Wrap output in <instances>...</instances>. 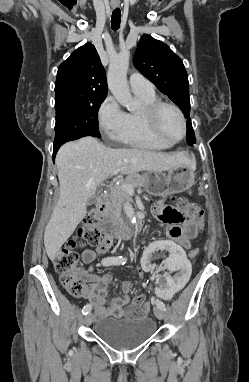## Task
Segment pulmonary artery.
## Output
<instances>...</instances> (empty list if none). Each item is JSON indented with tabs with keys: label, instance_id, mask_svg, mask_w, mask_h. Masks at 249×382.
Returning <instances> with one entry per match:
<instances>
[{
	"label": "pulmonary artery",
	"instance_id": "obj_1",
	"mask_svg": "<svg viewBox=\"0 0 249 382\" xmlns=\"http://www.w3.org/2000/svg\"><path fill=\"white\" fill-rule=\"evenodd\" d=\"M130 88L134 93L153 94L154 87L152 83L144 76L138 73H132L129 77Z\"/></svg>",
	"mask_w": 249,
	"mask_h": 382
}]
</instances>
